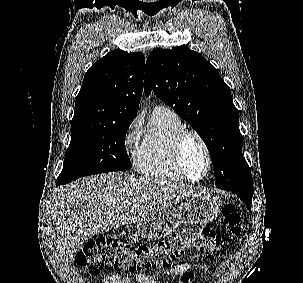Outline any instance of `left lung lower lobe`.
I'll return each instance as SVG.
<instances>
[{
	"mask_svg": "<svg viewBox=\"0 0 303 283\" xmlns=\"http://www.w3.org/2000/svg\"><path fill=\"white\" fill-rule=\"evenodd\" d=\"M220 189L229 190L234 194H236L238 197H240L243 200L247 208L251 211L253 190H244L238 188H220Z\"/></svg>",
	"mask_w": 303,
	"mask_h": 283,
	"instance_id": "1",
	"label": "left lung lower lobe"
}]
</instances>
